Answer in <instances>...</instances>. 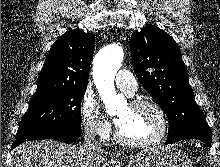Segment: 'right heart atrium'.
Here are the masks:
<instances>
[{
	"mask_svg": "<svg viewBox=\"0 0 220 167\" xmlns=\"http://www.w3.org/2000/svg\"><path fill=\"white\" fill-rule=\"evenodd\" d=\"M80 118L83 130L87 135L100 140L108 138L111 126L95 99L88 94H85L82 98Z\"/></svg>",
	"mask_w": 220,
	"mask_h": 167,
	"instance_id": "right-heart-atrium-1",
	"label": "right heart atrium"
}]
</instances>
